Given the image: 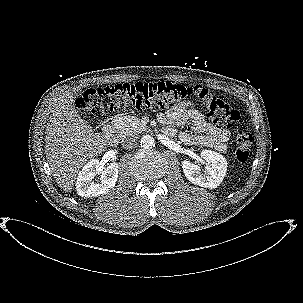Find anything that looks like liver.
Masks as SVG:
<instances>
[{
    "instance_id": "liver-1",
    "label": "liver",
    "mask_w": 303,
    "mask_h": 303,
    "mask_svg": "<svg viewBox=\"0 0 303 303\" xmlns=\"http://www.w3.org/2000/svg\"><path fill=\"white\" fill-rule=\"evenodd\" d=\"M80 88L60 95L53 105L45 131V154L54 179L65 192L73 189L79 170L106 148V136L94 133L78 115L75 98Z\"/></svg>"
}]
</instances>
